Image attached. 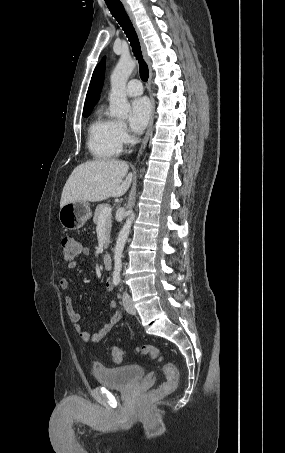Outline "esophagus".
<instances>
[{
  "label": "esophagus",
  "instance_id": "34e87169",
  "mask_svg": "<svg viewBox=\"0 0 285 453\" xmlns=\"http://www.w3.org/2000/svg\"><path fill=\"white\" fill-rule=\"evenodd\" d=\"M121 1L123 3V6H124L128 16H129L132 24H133V27H134V29L136 31V34H137L139 42H140L142 54L144 56L145 61L148 64V68H149L148 90H149V94H150V97H151V118H150V122H149V125H148V129H147L146 134H145V136L143 138L142 144L140 146V149H139V152H138V155H137V159H139L142 156V154H143V152H144V150H145V148L147 146V142H148V139H149L152 127H153L154 117H155V100H154V97L152 95L153 72H152V68H151V61H150L149 56L147 55L146 47H145L144 42L142 40L141 33H140L139 28H138V26L136 24L134 15H133L129 5L127 4L126 0H121Z\"/></svg>",
  "mask_w": 285,
  "mask_h": 453
}]
</instances>
